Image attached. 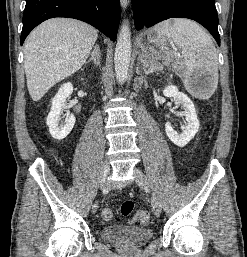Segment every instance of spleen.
Segmentation results:
<instances>
[{
    "mask_svg": "<svg viewBox=\"0 0 247 257\" xmlns=\"http://www.w3.org/2000/svg\"><path fill=\"white\" fill-rule=\"evenodd\" d=\"M156 37L150 39L151 43L160 37H169L182 49L183 63L186 67L184 85L191 87V79L208 73L211 77L209 87L198 96L201 99L209 98L218 84V55L211 37L195 22L175 18L163 21L153 27Z\"/></svg>",
    "mask_w": 247,
    "mask_h": 257,
    "instance_id": "1",
    "label": "spleen"
}]
</instances>
